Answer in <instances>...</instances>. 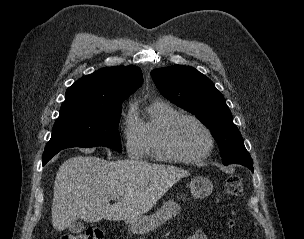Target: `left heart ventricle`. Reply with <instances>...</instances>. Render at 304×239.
<instances>
[{
    "label": "left heart ventricle",
    "instance_id": "b2bd125f",
    "mask_svg": "<svg viewBox=\"0 0 304 239\" xmlns=\"http://www.w3.org/2000/svg\"><path fill=\"white\" fill-rule=\"evenodd\" d=\"M176 147L186 155L202 153L208 146V139L203 129L191 120L182 121L174 132Z\"/></svg>",
    "mask_w": 304,
    "mask_h": 239
}]
</instances>
